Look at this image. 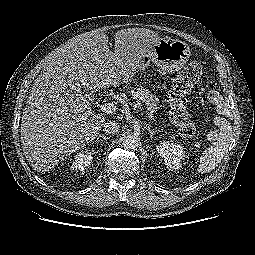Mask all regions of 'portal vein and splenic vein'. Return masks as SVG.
Here are the masks:
<instances>
[{"label":"portal vein and splenic vein","mask_w":255,"mask_h":255,"mask_svg":"<svg viewBox=\"0 0 255 255\" xmlns=\"http://www.w3.org/2000/svg\"><path fill=\"white\" fill-rule=\"evenodd\" d=\"M101 110H102V112H104V113L112 114V113L116 112L117 106L114 105L113 103H106V104H103V105L101 106ZM153 112H154L153 110H151V109L148 108L147 115H148V118H149V119H152V118H153Z\"/></svg>","instance_id":"18ae733b"}]
</instances>
